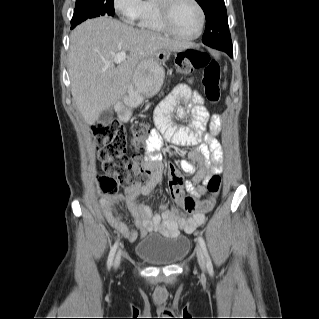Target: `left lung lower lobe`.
I'll return each instance as SVG.
<instances>
[{"mask_svg": "<svg viewBox=\"0 0 319 319\" xmlns=\"http://www.w3.org/2000/svg\"><path fill=\"white\" fill-rule=\"evenodd\" d=\"M222 51H225L230 57H232V45H229V46H224L222 48Z\"/></svg>", "mask_w": 319, "mask_h": 319, "instance_id": "left-lung-lower-lobe-1", "label": "left lung lower lobe"}]
</instances>
